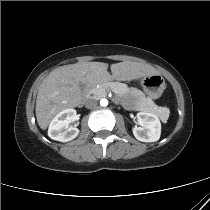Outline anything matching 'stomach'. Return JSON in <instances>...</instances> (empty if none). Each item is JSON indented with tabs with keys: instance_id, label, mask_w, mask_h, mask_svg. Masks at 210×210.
I'll use <instances>...</instances> for the list:
<instances>
[{
	"instance_id": "stomach-1",
	"label": "stomach",
	"mask_w": 210,
	"mask_h": 210,
	"mask_svg": "<svg viewBox=\"0 0 210 210\" xmlns=\"http://www.w3.org/2000/svg\"><path fill=\"white\" fill-rule=\"evenodd\" d=\"M141 86L149 98L157 99L164 92L166 83L161 75L153 74L143 77L141 79Z\"/></svg>"
}]
</instances>
